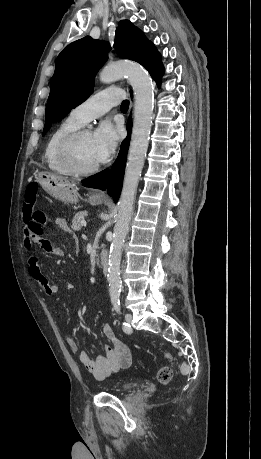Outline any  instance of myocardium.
I'll return each mask as SVG.
<instances>
[{
	"label": "myocardium",
	"instance_id": "1",
	"mask_svg": "<svg viewBox=\"0 0 261 459\" xmlns=\"http://www.w3.org/2000/svg\"><path fill=\"white\" fill-rule=\"evenodd\" d=\"M85 129H78L68 135L61 143L59 150V157L64 167L74 175L87 176L94 174L99 169V164L84 168L80 165L78 160V145L82 134Z\"/></svg>",
	"mask_w": 261,
	"mask_h": 459
}]
</instances>
